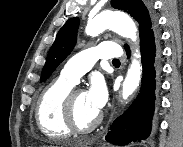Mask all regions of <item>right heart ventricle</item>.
<instances>
[{
  "instance_id": "1",
  "label": "right heart ventricle",
  "mask_w": 183,
  "mask_h": 147,
  "mask_svg": "<svg viewBox=\"0 0 183 147\" xmlns=\"http://www.w3.org/2000/svg\"><path fill=\"white\" fill-rule=\"evenodd\" d=\"M74 84L62 77L52 81L42 91L36 106V121L40 131L50 139L71 135L64 119V102Z\"/></svg>"
}]
</instances>
